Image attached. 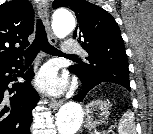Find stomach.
<instances>
[{"label":"stomach","instance_id":"obj_1","mask_svg":"<svg viewBox=\"0 0 153 134\" xmlns=\"http://www.w3.org/2000/svg\"><path fill=\"white\" fill-rule=\"evenodd\" d=\"M85 116L86 128H95L108 120L109 105L101 100L92 101L86 105Z\"/></svg>","mask_w":153,"mask_h":134}]
</instances>
